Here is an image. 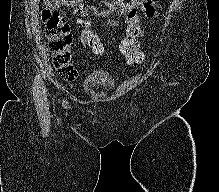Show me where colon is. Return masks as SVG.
Listing matches in <instances>:
<instances>
[{
    "label": "colon",
    "instance_id": "5ec220e1",
    "mask_svg": "<svg viewBox=\"0 0 219 192\" xmlns=\"http://www.w3.org/2000/svg\"><path fill=\"white\" fill-rule=\"evenodd\" d=\"M42 21L45 33L49 40L53 64L58 75L64 80H73L77 76V69L73 64L71 55L72 35L69 26L61 15L53 8L47 7L42 11ZM137 32L127 34L120 43V53L130 63H139L142 53L139 50ZM92 48L98 52L103 46L97 41H91Z\"/></svg>",
    "mask_w": 219,
    "mask_h": 192
}]
</instances>
